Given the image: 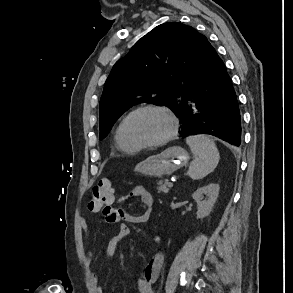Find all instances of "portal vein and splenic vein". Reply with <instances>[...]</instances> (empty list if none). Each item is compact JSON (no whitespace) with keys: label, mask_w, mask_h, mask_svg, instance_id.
<instances>
[{"label":"portal vein and splenic vein","mask_w":293,"mask_h":293,"mask_svg":"<svg viewBox=\"0 0 293 293\" xmlns=\"http://www.w3.org/2000/svg\"><path fill=\"white\" fill-rule=\"evenodd\" d=\"M169 187H173V182H169Z\"/></svg>","instance_id":"portal-vein-and-splenic-vein-1"}]
</instances>
